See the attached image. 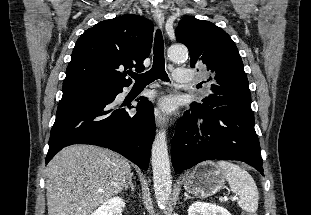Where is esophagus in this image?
<instances>
[{"instance_id":"34e87169","label":"esophagus","mask_w":311,"mask_h":215,"mask_svg":"<svg viewBox=\"0 0 311 215\" xmlns=\"http://www.w3.org/2000/svg\"><path fill=\"white\" fill-rule=\"evenodd\" d=\"M153 17L156 21V23L160 26V27H163L164 25V13L162 10L160 9H155L153 11ZM155 122H156V126L158 128H161L163 126H166L167 125V117L160 113L159 110H156L155 111Z\"/></svg>"}]
</instances>
